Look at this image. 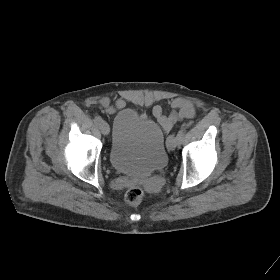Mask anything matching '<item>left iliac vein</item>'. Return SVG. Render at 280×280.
Returning <instances> with one entry per match:
<instances>
[{"instance_id": "obj_1", "label": "left iliac vein", "mask_w": 280, "mask_h": 280, "mask_svg": "<svg viewBox=\"0 0 280 280\" xmlns=\"http://www.w3.org/2000/svg\"><path fill=\"white\" fill-rule=\"evenodd\" d=\"M179 143L180 142H179L178 137L175 135H171L168 138L167 147L169 150H174Z\"/></svg>"}]
</instances>
